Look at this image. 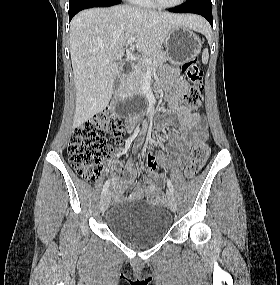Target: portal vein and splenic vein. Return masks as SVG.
Listing matches in <instances>:
<instances>
[{"instance_id": "1", "label": "portal vein and splenic vein", "mask_w": 280, "mask_h": 285, "mask_svg": "<svg viewBox=\"0 0 280 285\" xmlns=\"http://www.w3.org/2000/svg\"><path fill=\"white\" fill-rule=\"evenodd\" d=\"M135 41H136V38H135V37H132V38H130V39H128V40L126 41V45H127V46H128V45H132ZM145 61H146V63H148V64L151 63V59H150V58L146 59Z\"/></svg>"}]
</instances>
